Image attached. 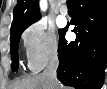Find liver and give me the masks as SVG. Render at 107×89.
Returning a JSON list of instances; mask_svg holds the SVG:
<instances>
[{
	"label": "liver",
	"instance_id": "obj_1",
	"mask_svg": "<svg viewBox=\"0 0 107 89\" xmlns=\"http://www.w3.org/2000/svg\"><path fill=\"white\" fill-rule=\"evenodd\" d=\"M9 89H50L49 81L43 74L20 79L12 83ZM57 89H65L59 83Z\"/></svg>",
	"mask_w": 107,
	"mask_h": 89
}]
</instances>
